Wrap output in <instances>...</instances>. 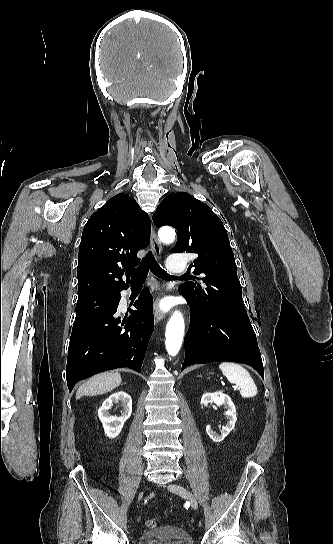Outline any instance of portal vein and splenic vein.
I'll use <instances>...</instances> for the list:
<instances>
[{
    "label": "portal vein and splenic vein",
    "instance_id": "18ae733b",
    "mask_svg": "<svg viewBox=\"0 0 333 544\" xmlns=\"http://www.w3.org/2000/svg\"><path fill=\"white\" fill-rule=\"evenodd\" d=\"M234 390H238L239 388L237 386H233Z\"/></svg>",
    "mask_w": 333,
    "mask_h": 544
}]
</instances>
